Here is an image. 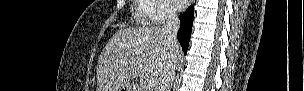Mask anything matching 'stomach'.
I'll use <instances>...</instances> for the list:
<instances>
[{
  "mask_svg": "<svg viewBox=\"0 0 304 91\" xmlns=\"http://www.w3.org/2000/svg\"><path fill=\"white\" fill-rule=\"evenodd\" d=\"M121 90H125V91H135L133 87L128 86V85L125 86V87H123Z\"/></svg>",
  "mask_w": 304,
  "mask_h": 91,
  "instance_id": "stomach-1",
  "label": "stomach"
}]
</instances>
